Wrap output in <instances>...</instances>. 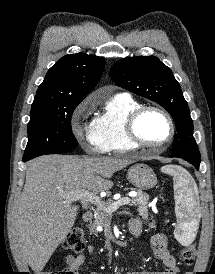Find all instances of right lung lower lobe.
I'll return each mask as SVG.
<instances>
[{
    "mask_svg": "<svg viewBox=\"0 0 215 274\" xmlns=\"http://www.w3.org/2000/svg\"><path fill=\"white\" fill-rule=\"evenodd\" d=\"M31 160V159H30ZM24 162L28 161V159H23Z\"/></svg>",
    "mask_w": 215,
    "mask_h": 274,
    "instance_id": "1",
    "label": "right lung lower lobe"
}]
</instances>
